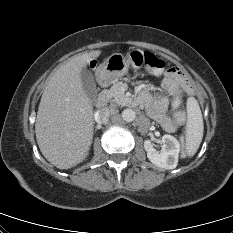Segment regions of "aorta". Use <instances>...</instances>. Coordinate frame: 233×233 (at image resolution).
<instances>
[{"label":"aorta","instance_id":"762f6f07","mask_svg":"<svg viewBox=\"0 0 233 233\" xmlns=\"http://www.w3.org/2000/svg\"><path fill=\"white\" fill-rule=\"evenodd\" d=\"M121 117L125 122H132L136 118V113L132 109H125L122 111Z\"/></svg>","mask_w":233,"mask_h":233}]
</instances>
